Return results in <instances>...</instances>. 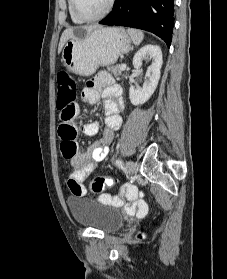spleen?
Masks as SVG:
<instances>
[{
  "label": "spleen",
  "mask_w": 227,
  "mask_h": 279,
  "mask_svg": "<svg viewBox=\"0 0 227 279\" xmlns=\"http://www.w3.org/2000/svg\"><path fill=\"white\" fill-rule=\"evenodd\" d=\"M127 32L130 35V37L135 45H139L142 42V40L144 38V34L142 31L129 28L127 30Z\"/></svg>",
  "instance_id": "obj_1"
}]
</instances>
